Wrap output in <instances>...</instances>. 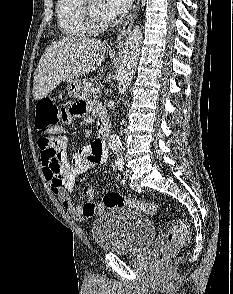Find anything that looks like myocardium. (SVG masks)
<instances>
[{
  "instance_id": "myocardium-1",
  "label": "myocardium",
  "mask_w": 233,
  "mask_h": 294,
  "mask_svg": "<svg viewBox=\"0 0 233 294\" xmlns=\"http://www.w3.org/2000/svg\"><path fill=\"white\" fill-rule=\"evenodd\" d=\"M86 21L93 32H101L111 25L109 18H102L92 9L90 2L85 3L84 7Z\"/></svg>"
}]
</instances>
